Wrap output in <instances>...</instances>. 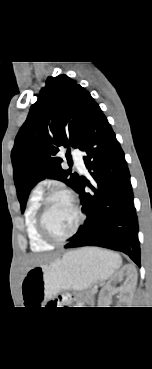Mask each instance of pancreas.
<instances>
[{"label":"pancreas","mask_w":152,"mask_h":369,"mask_svg":"<svg viewBox=\"0 0 152 369\" xmlns=\"http://www.w3.org/2000/svg\"><path fill=\"white\" fill-rule=\"evenodd\" d=\"M95 293H96V290H95L94 288H92L91 290H89V291L87 292V295L89 296V298H90L91 300H93V296L95 295Z\"/></svg>","instance_id":"obj_1"}]
</instances>
